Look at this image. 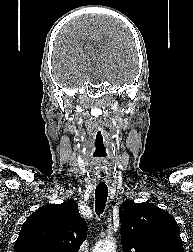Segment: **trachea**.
Returning <instances> with one entry per match:
<instances>
[{
  "mask_svg": "<svg viewBox=\"0 0 193 252\" xmlns=\"http://www.w3.org/2000/svg\"><path fill=\"white\" fill-rule=\"evenodd\" d=\"M108 196V187L106 184H98L95 190V211L97 215L103 213Z\"/></svg>",
  "mask_w": 193,
  "mask_h": 252,
  "instance_id": "3493384b",
  "label": "trachea"
}]
</instances>
